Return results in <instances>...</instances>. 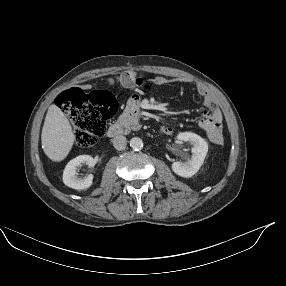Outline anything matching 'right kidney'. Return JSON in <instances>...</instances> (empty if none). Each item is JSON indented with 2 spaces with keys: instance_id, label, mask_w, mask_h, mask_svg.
Here are the masks:
<instances>
[{
  "instance_id": "obj_1",
  "label": "right kidney",
  "mask_w": 286,
  "mask_h": 286,
  "mask_svg": "<svg viewBox=\"0 0 286 286\" xmlns=\"http://www.w3.org/2000/svg\"><path fill=\"white\" fill-rule=\"evenodd\" d=\"M82 165L93 167L95 165L93 157L89 155H80L72 159L66 165L63 172V182L66 186L76 190H83L89 188L92 185V174L86 175L84 178H79L76 176L77 167Z\"/></svg>"
}]
</instances>
